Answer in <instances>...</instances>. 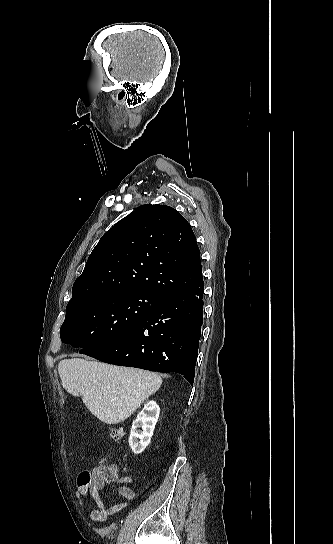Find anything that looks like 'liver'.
<instances>
[{"label":"liver","instance_id":"liver-1","mask_svg":"<svg viewBox=\"0 0 333 544\" xmlns=\"http://www.w3.org/2000/svg\"><path fill=\"white\" fill-rule=\"evenodd\" d=\"M58 372L63 388L109 425L125 421L162 384L153 372L81 358L60 361Z\"/></svg>","mask_w":333,"mask_h":544}]
</instances>
